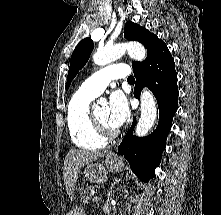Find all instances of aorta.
<instances>
[{
  "instance_id": "1",
  "label": "aorta",
  "mask_w": 221,
  "mask_h": 215,
  "mask_svg": "<svg viewBox=\"0 0 221 215\" xmlns=\"http://www.w3.org/2000/svg\"><path fill=\"white\" fill-rule=\"evenodd\" d=\"M128 52L129 56L136 61H143L146 58L144 46L137 42L115 44L98 50L93 55L96 65H106L118 60ZM141 116L135 128L137 136H145L153 127L157 116V108L153 94L146 88L141 93Z\"/></svg>"
}]
</instances>
